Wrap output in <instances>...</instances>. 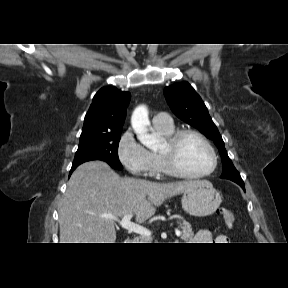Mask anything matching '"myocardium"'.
Segmentation results:
<instances>
[{
  "instance_id": "myocardium-1",
  "label": "myocardium",
  "mask_w": 288,
  "mask_h": 288,
  "mask_svg": "<svg viewBox=\"0 0 288 288\" xmlns=\"http://www.w3.org/2000/svg\"><path fill=\"white\" fill-rule=\"evenodd\" d=\"M188 136L199 139L210 151L213 158V165L210 170L200 174H192L185 171L178 161V149L182 140ZM166 169L174 176L186 179H202L212 175L218 167V155L211 142L200 132L192 129L175 131L165 138V150L159 152Z\"/></svg>"
}]
</instances>
